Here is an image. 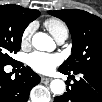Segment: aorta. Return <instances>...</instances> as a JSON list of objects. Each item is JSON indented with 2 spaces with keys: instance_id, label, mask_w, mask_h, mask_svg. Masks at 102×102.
Here are the masks:
<instances>
[{
  "instance_id": "aorta-1",
  "label": "aorta",
  "mask_w": 102,
  "mask_h": 102,
  "mask_svg": "<svg viewBox=\"0 0 102 102\" xmlns=\"http://www.w3.org/2000/svg\"><path fill=\"white\" fill-rule=\"evenodd\" d=\"M32 45L41 51H52L55 48L53 39L42 32L34 34L32 38ZM50 89L54 94L61 95L65 91V83L60 79H54L50 83Z\"/></svg>"
}]
</instances>
